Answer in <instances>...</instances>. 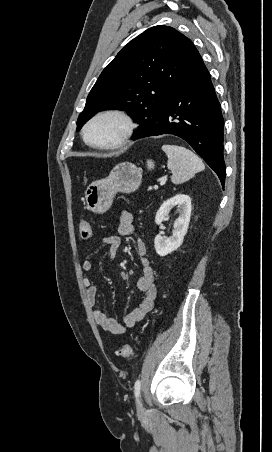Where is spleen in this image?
<instances>
[{
  "mask_svg": "<svg viewBox=\"0 0 272 452\" xmlns=\"http://www.w3.org/2000/svg\"><path fill=\"white\" fill-rule=\"evenodd\" d=\"M162 150L168 157L167 167L172 172L173 184L184 183L205 168L202 160L185 147L165 144Z\"/></svg>",
  "mask_w": 272,
  "mask_h": 452,
  "instance_id": "3e777b00",
  "label": "spleen"
}]
</instances>
